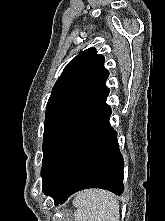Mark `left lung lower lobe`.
I'll list each match as a JSON object with an SVG mask.
<instances>
[{
	"instance_id": "left-lung-lower-lobe-1",
	"label": "left lung lower lobe",
	"mask_w": 165,
	"mask_h": 221,
	"mask_svg": "<svg viewBox=\"0 0 165 221\" xmlns=\"http://www.w3.org/2000/svg\"><path fill=\"white\" fill-rule=\"evenodd\" d=\"M108 94L62 136L41 169L43 192L56 206L82 189L124 191V160L109 123Z\"/></svg>"
}]
</instances>
